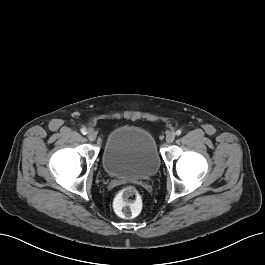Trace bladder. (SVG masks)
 Instances as JSON below:
<instances>
[{
  "mask_svg": "<svg viewBox=\"0 0 265 265\" xmlns=\"http://www.w3.org/2000/svg\"><path fill=\"white\" fill-rule=\"evenodd\" d=\"M160 162L155 138L142 126L122 125L107 137L102 165L111 177L135 181L148 179L158 172Z\"/></svg>",
  "mask_w": 265,
  "mask_h": 265,
  "instance_id": "1",
  "label": "bladder"
}]
</instances>
